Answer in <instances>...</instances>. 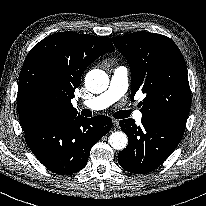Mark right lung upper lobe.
<instances>
[{"instance_id": "right-lung-upper-lobe-1", "label": "right lung upper lobe", "mask_w": 206, "mask_h": 206, "mask_svg": "<svg viewBox=\"0 0 206 206\" xmlns=\"http://www.w3.org/2000/svg\"><path fill=\"white\" fill-rule=\"evenodd\" d=\"M113 51L108 37L72 31L36 44L19 76L17 109L24 132L79 116L71 99L83 72L96 58Z\"/></svg>"}]
</instances>
